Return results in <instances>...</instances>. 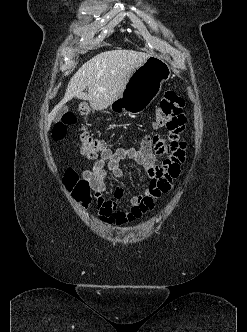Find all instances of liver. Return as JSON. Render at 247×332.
<instances>
[{
	"mask_svg": "<svg viewBox=\"0 0 247 332\" xmlns=\"http://www.w3.org/2000/svg\"><path fill=\"white\" fill-rule=\"evenodd\" d=\"M149 57L148 53L117 49L97 54L84 63L70 79L64 98L48 115L49 130L56 113L73 98L88 100L94 110L106 109L124 91L135 69ZM88 87V94L84 89Z\"/></svg>",
	"mask_w": 247,
	"mask_h": 332,
	"instance_id": "1",
	"label": "liver"
}]
</instances>
